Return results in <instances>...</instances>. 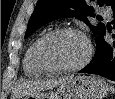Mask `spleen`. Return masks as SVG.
Returning <instances> with one entry per match:
<instances>
[{"instance_id":"1","label":"spleen","mask_w":115,"mask_h":99,"mask_svg":"<svg viewBox=\"0 0 115 99\" xmlns=\"http://www.w3.org/2000/svg\"><path fill=\"white\" fill-rule=\"evenodd\" d=\"M110 90L114 93L115 89L113 87H110Z\"/></svg>"}]
</instances>
